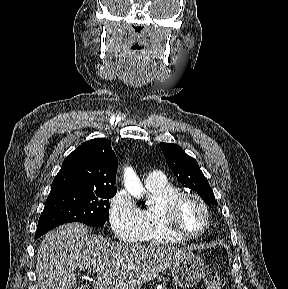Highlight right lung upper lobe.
<instances>
[{"instance_id":"1","label":"right lung upper lobe","mask_w":288,"mask_h":289,"mask_svg":"<svg viewBox=\"0 0 288 289\" xmlns=\"http://www.w3.org/2000/svg\"><path fill=\"white\" fill-rule=\"evenodd\" d=\"M117 163L109 140L98 138L85 142L65 158L51 191L116 189Z\"/></svg>"}]
</instances>
